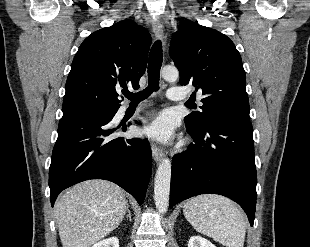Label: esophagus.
Masks as SVG:
<instances>
[{
	"mask_svg": "<svg viewBox=\"0 0 310 247\" xmlns=\"http://www.w3.org/2000/svg\"><path fill=\"white\" fill-rule=\"evenodd\" d=\"M152 27H153V32L156 38L159 40H163V26L161 22L158 19H155L153 21ZM151 151H152V156H153L154 161L158 163L163 156L162 150L156 144L152 143Z\"/></svg>",
	"mask_w": 310,
	"mask_h": 247,
	"instance_id": "obj_1",
	"label": "esophagus"
}]
</instances>
